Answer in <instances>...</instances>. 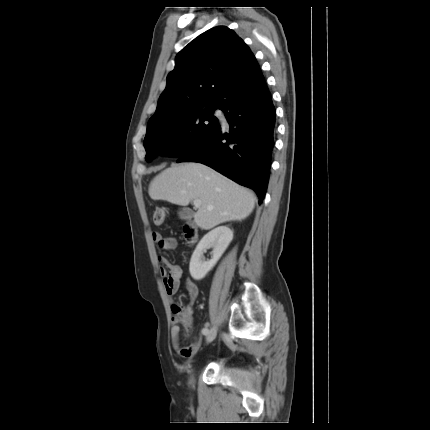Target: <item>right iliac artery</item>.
<instances>
[{"label":"right iliac artery","instance_id":"1","mask_svg":"<svg viewBox=\"0 0 430 430\" xmlns=\"http://www.w3.org/2000/svg\"><path fill=\"white\" fill-rule=\"evenodd\" d=\"M208 332H209V330H208V329H206V330H203V331H202V334H203V335H206Z\"/></svg>","mask_w":430,"mask_h":430}]
</instances>
